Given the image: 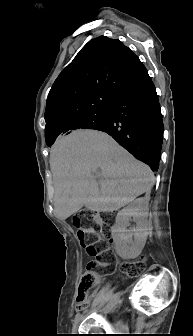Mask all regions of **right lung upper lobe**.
Listing matches in <instances>:
<instances>
[{
  "label": "right lung upper lobe",
  "instance_id": "cb5924a9",
  "mask_svg": "<svg viewBox=\"0 0 193 336\" xmlns=\"http://www.w3.org/2000/svg\"><path fill=\"white\" fill-rule=\"evenodd\" d=\"M141 64L119 40L101 36L89 41L50 90L45 112L46 140L55 141L73 132L81 115L109 108Z\"/></svg>",
  "mask_w": 193,
  "mask_h": 336
}]
</instances>
